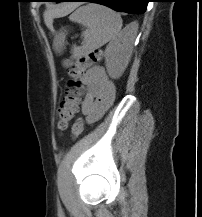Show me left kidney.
Instances as JSON below:
<instances>
[{
  "label": "left kidney",
  "instance_id": "left-kidney-1",
  "mask_svg": "<svg viewBox=\"0 0 202 217\" xmlns=\"http://www.w3.org/2000/svg\"><path fill=\"white\" fill-rule=\"evenodd\" d=\"M124 34L125 32L113 39L105 49V65L112 79L122 76L132 55L134 38Z\"/></svg>",
  "mask_w": 202,
  "mask_h": 217
}]
</instances>
